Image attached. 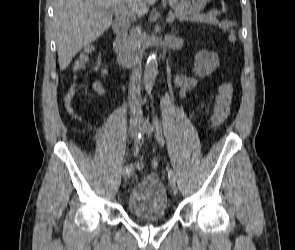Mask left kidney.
<instances>
[{
    "mask_svg": "<svg viewBox=\"0 0 295 250\" xmlns=\"http://www.w3.org/2000/svg\"><path fill=\"white\" fill-rule=\"evenodd\" d=\"M219 66V57L214 52L200 51L195 56L194 72L200 76L211 74Z\"/></svg>",
    "mask_w": 295,
    "mask_h": 250,
    "instance_id": "5707ae66",
    "label": "left kidney"
}]
</instances>
